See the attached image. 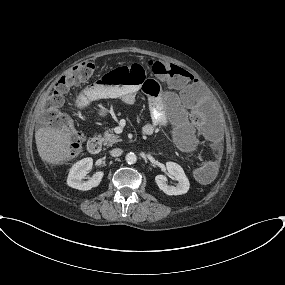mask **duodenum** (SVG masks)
Returning <instances> with one entry per match:
<instances>
[{
	"label": "duodenum",
	"instance_id": "obj_1",
	"mask_svg": "<svg viewBox=\"0 0 285 285\" xmlns=\"http://www.w3.org/2000/svg\"><path fill=\"white\" fill-rule=\"evenodd\" d=\"M102 149V138L99 135H95L90 138L88 142V150L92 154H97Z\"/></svg>",
	"mask_w": 285,
	"mask_h": 285
}]
</instances>
